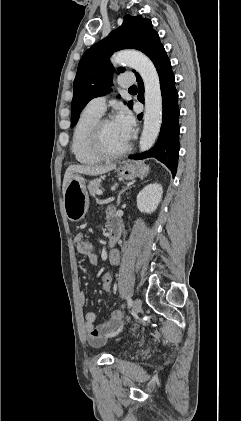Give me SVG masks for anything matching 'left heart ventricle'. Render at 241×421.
Returning a JSON list of instances; mask_svg holds the SVG:
<instances>
[{
  "mask_svg": "<svg viewBox=\"0 0 241 421\" xmlns=\"http://www.w3.org/2000/svg\"><path fill=\"white\" fill-rule=\"evenodd\" d=\"M128 143L121 131L116 127L114 122H109L103 129V144L110 152H117L123 149Z\"/></svg>",
  "mask_w": 241,
  "mask_h": 421,
  "instance_id": "1",
  "label": "left heart ventricle"
}]
</instances>
